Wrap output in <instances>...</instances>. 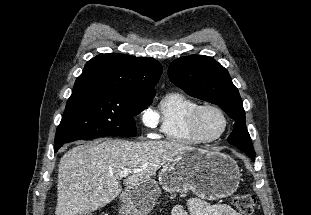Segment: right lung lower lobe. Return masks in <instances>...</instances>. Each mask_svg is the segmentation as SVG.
I'll return each instance as SVG.
<instances>
[{"instance_id":"98d812e1","label":"right lung lower lobe","mask_w":311,"mask_h":215,"mask_svg":"<svg viewBox=\"0 0 311 215\" xmlns=\"http://www.w3.org/2000/svg\"><path fill=\"white\" fill-rule=\"evenodd\" d=\"M63 144L55 146L54 152L58 151V149L62 146Z\"/></svg>"}]
</instances>
